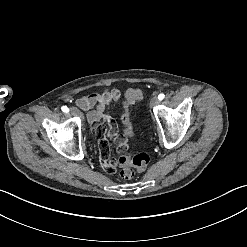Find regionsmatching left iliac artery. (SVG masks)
<instances>
[{"instance_id": "1", "label": "left iliac artery", "mask_w": 247, "mask_h": 247, "mask_svg": "<svg viewBox=\"0 0 247 247\" xmlns=\"http://www.w3.org/2000/svg\"><path fill=\"white\" fill-rule=\"evenodd\" d=\"M164 97H165V95H164L163 93H161V94L158 95V99H159V100H163Z\"/></svg>"}]
</instances>
